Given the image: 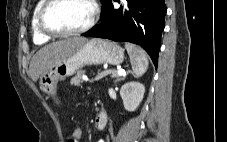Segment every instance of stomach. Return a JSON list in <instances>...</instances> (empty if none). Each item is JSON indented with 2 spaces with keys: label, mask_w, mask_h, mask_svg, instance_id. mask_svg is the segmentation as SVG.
<instances>
[{
  "label": "stomach",
  "mask_w": 227,
  "mask_h": 142,
  "mask_svg": "<svg viewBox=\"0 0 227 142\" xmlns=\"http://www.w3.org/2000/svg\"><path fill=\"white\" fill-rule=\"evenodd\" d=\"M124 60V50L117 44L91 39L80 46L74 53L58 60L49 70L40 76V89L49 96L55 97L57 82L72 76L86 65L121 64Z\"/></svg>",
  "instance_id": "1"
}]
</instances>
